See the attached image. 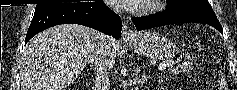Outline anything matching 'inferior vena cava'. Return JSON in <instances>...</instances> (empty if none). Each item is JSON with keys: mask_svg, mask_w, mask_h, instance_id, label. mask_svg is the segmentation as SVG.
<instances>
[{"mask_svg": "<svg viewBox=\"0 0 237 90\" xmlns=\"http://www.w3.org/2000/svg\"><path fill=\"white\" fill-rule=\"evenodd\" d=\"M114 12L121 14L119 6H115ZM102 44L91 58L94 70V90H110L109 70L113 68L116 58V50L118 48L116 40H112L110 36H101Z\"/></svg>", "mask_w": 237, "mask_h": 90, "instance_id": "1", "label": "inferior vena cava"}]
</instances>
